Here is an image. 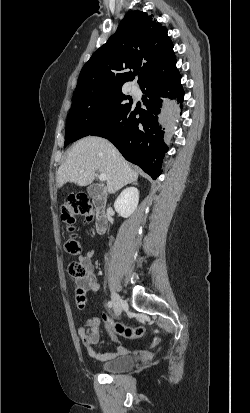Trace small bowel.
<instances>
[{
  "label": "small bowel",
  "mask_w": 250,
  "mask_h": 413,
  "mask_svg": "<svg viewBox=\"0 0 250 413\" xmlns=\"http://www.w3.org/2000/svg\"><path fill=\"white\" fill-rule=\"evenodd\" d=\"M92 256V251L85 252L79 256L78 263L84 267L86 274L82 278H75L71 275L70 280L72 283L80 286L84 291L97 292L100 286L94 273ZM99 327L100 319L98 317H92L78 327V335L90 357L105 361L124 355L128 352L125 346L120 345L113 352L98 353L95 350V346L100 343ZM106 329L111 339L118 342L115 332L108 323H106Z\"/></svg>",
  "instance_id": "small-bowel-1"
}]
</instances>
